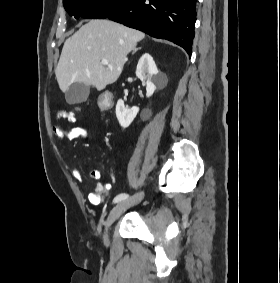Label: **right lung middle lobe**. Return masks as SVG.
Wrapping results in <instances>:
<instances>
[{
	"label": "right lung middle lobe",
	"mask_w": 280,
	"mask_h": 283,
	"mask_svg": "<svg viewBox=\"0 0 280 283\" xmlns=\"http://www.w3.org/2000/svg\"><path fill=\"white\" fill-rule=\"evenodd\" d=\"M131 0H63L66 11L75 18H107Z\"/></svg>",
	"instance_id": "right-lung-middle-lobe-1"
}]
</instances>
